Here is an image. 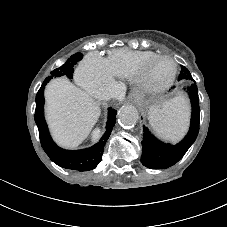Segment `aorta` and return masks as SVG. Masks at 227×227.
Segmentation results:
<instances>
[{
  "label": "aorta",
  "mask_w": 227,
  "mask_h": 227,
  "mask_svg": "<svg viewBox=\"0 0 227 227\" xmlns=\"http://www.w3.org/2000/svg\"><path fill=\"white\" fill-rule=\"evenodd\" d=\"M139 115L132 105L122 106L118 112V122L124 128H132L136 125Z\"/></svg>",
  "instance_id": "aorta-1"
}]
</instances>
